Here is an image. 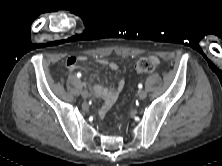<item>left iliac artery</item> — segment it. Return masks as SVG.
Listing matches in <instances>:
<instances>
[{
	"instance_id": "left-iliac-artery-1",
	"label": "left iliac artery",
	"mask_w": 222,
	"mask_h": 166,
	"mask_svg": "<svg viewBox=\"0 0 222 166\" xmlns=\"http://www.w3.org/2000/svg\"><path fill=\"white\" fill-rule=\"evenodd\" d=\"M138 87H139V88H142V84H139Z\"/></svg>"
}]
</instances>
